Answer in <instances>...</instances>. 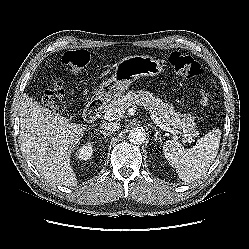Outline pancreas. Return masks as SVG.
<instances>
[{"label": "pancreas", "mask_w": 249, "mask_h": 249, "mask_svg": "<svg viewBox=\"0 0 249 249\" xmlns=\"http://www.w3.org/2000/svg\"><path fill=\"white\" fill-rule=\"evenodd\" d=\"M132 105H143L149 112L158 116L165 125L179 130L186 140L198 134L192 115L176 112L172 104L164 103L149 91H130L125 95L115 97L111 104L106 105L104 109L108 111L117 108L124 112Z\"/></svg>", "instance_id": "pancreas-1"}]
</instances>
